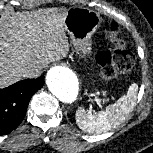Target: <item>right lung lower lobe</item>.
Listing matches in <instances>:
<instances>
[{
	"instance_id": "1",
	"label": "right lung lower lobe",
	"mask_w": 153,
	"mask_h": 153,
	"mask_svg": "<svg viewBox=\"0 0 153 153\" xmlns=\"http://www.w3.org/2000/svg\"><path fill=\"white\" fill-rule=\"evenodd\" d=\"M44 77L19 81L0 89V135L14 130L23 120L32 95L41 89Z\"/></svg>"
}]
</instances>
